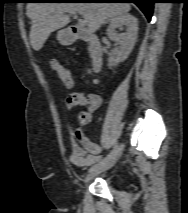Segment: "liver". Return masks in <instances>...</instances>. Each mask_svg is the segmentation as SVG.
Listing matches in <instances>:
<instances>
[{
  "mask_svg": "<svg viewBox=\"0 0 188 213\" xmlns=\"http://www.w3.org/2000/svg\"><path fill=\"white\" fill-rule=\"evenodd\" d=\"M131 10L128 3H28L26 14L31 20L30 43L39 51L49 35L70 22L65 13L83 16L91 33L108 19Z\"/></svg>",
  "mask_w": 188,
  "mask_h": 213,
  "instance_id": "1",
  "label": "liver"
}]
</instances>
